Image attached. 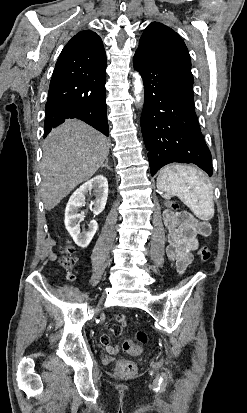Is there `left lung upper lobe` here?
<instances>
[{"instance_id":"1","label":"left lung upper lobe","mask_w":247,"mask_h":413,"mask_svg":"<svg viewBox=\"0 0 247 413\" xmlns=\"http://www.w3.org/2000/svg\"><path fill=\"white\" fill-rule=\"evenodd\" d=\"M138 53L193 82L188 49L181 37L162 23L148 25L139 41Z\"/></svg>"}]
</instances>
